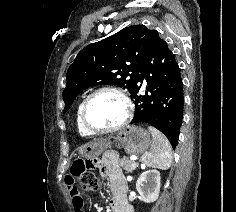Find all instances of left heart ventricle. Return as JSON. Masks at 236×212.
<instances>
[{"instance_id": "obj_1", "label": "left heart ventricle", "mask_w": 236, "mask_h": 212, "mask_svg": "<svg viewBox=\"0 0 236 212\" xmlns=\"http://www.w3.org/2000/svg\"><path fill=\"white\" fill-rule=\"evenodd\" d=\"M125 105L122 99L112 93L96 95L87 109V120L94 128L104 129L118 125L124 118Z\"/></svg>"}]
</instances>
